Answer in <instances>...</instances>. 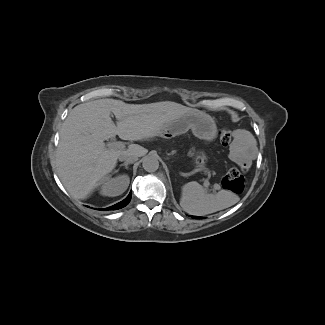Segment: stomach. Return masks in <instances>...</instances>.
Instances as JSON below:
<instances>
[{
  "instance_id": "obj_1",
  "label": "stomach",
  "mask_w": 325,
  "mask_h": 325,
  "mask_svg": "<svg viewBox=\"0 0 325 325\" xmlns=\"http://www.w3.org/2000/svg\"><path fill=\"white\" fill-rule=\"evenodd\" d=\"M192 129L194 135L202 139H211L216 133V126L209 115L201 112L187 113L171 121L163 128L162 133L166 137L176 138L178 134ZM194 163L197 167H204L206 157L199 154Z\"/></svg>"
}]
</instances>
